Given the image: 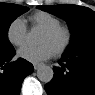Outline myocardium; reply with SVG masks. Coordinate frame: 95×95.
I'll use <instances>...</instances> for the list:
<instances>
[{
	"instance_id": "f54148a6",
	"label": "myocardium",
	"mask_w": 95,
	"mask_h": 95,
	"mask_svg": "<svg viewBox=\"0 0 95 95\" xmlns=\"http://www.w3.org/2000/svg\"><path fill=\"white\" fill-rule=\"evenodd\" d=\"M43 32L50 37H54L58 34L64 35L63 44L53 52L55 56H61L69 49L72 43V32L68 27L59 25L53 28L43 30Z\"/></svg>"
}]
</instances>
